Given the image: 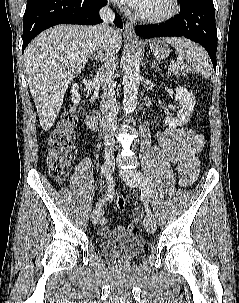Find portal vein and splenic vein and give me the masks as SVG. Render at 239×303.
I'll return each instance as SVG.
<instances>
[{"mask_svg": "<svg viewBox=\"0 0 239 303\" xmlns=\"http://www.w3.org/2000/svg\"><path fill=\"white\" fill-rule=\"evenodd\" d=\"M179 63H180V62L175 63V64L173 65V67H176Z\"/></svg>", "mask_w": 239, "mask_h": 303, "instance_id": "18ae733b", "label": "portal vein and splenic vein"}]
</instances>
